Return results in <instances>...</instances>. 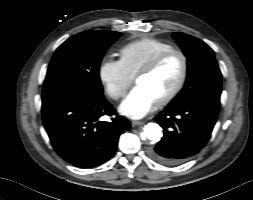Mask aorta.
I'll return each mask as SVG.
<instances>
[{"mask_svg":"<svg viewBox=\"0 0 253 200\" xmlns=\"http://www.w3.org/2000/svg\"><path fill=\"white\" fill-rule=\"evenodd\" d=\"M162 137V128L156 123H148L144 127V131L141 133L143 140H150L157 142Z\"/></svg>","mask_w":253,"mask_h":200,"instance_id":"1","label":"aorta"}]
</instances>
